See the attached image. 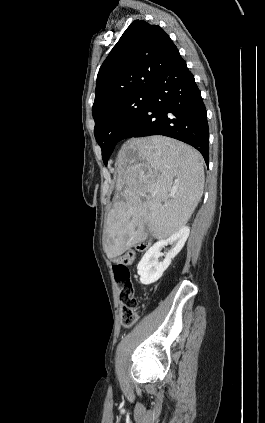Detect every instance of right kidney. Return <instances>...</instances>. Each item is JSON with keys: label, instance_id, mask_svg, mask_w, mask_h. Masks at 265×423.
I'll return each instance as SVG.
<instances>
[{"label": "right kidney", "instance_id": "1", "mask_svg": "<svg viewBox=\"0 0 265 423\" xmlns=\"http://www.w3.org/2000/svg\"><path fill=\"white\" fill-rule=\"evenodd\" d=\"M189 233V227L184 226L167 239L156 242L144 254L137 266L138 275L140 276V282L142 284L149 285L161 278L164 271L171 264V260L182 250ZM168 244L172 245V249L166 253L165 259L159 262L158 258L161 256V250Z\"/></svg>", "mask_w": 265, "mask_h": 423}]
</instances>
